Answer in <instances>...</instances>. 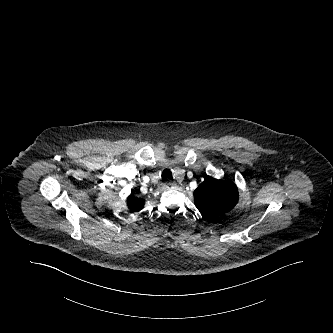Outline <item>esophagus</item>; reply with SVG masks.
<instances>
[{"mask_svg":"<svg viewBox=\"0 0 333 333\" xmlns=\"http://www.w3.org/2000/svg\"><path fill=\"white\" fill-rule=\"evenodd\" d=\"M177 186L174 182H171V181H167L165 184H164V188L169 190V189H175Z\"/></svg>","mask_w":333,"mask_h":333,"instance_id":"1","label":"esophagus"}]
</instances>
